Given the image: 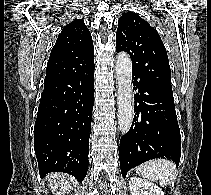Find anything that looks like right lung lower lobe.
Masks as SVG:
<instances>
[{
    "label": "right lung lower lobe",
    "instance_id": "1",
    "mask_svg": "<svg viewBox=\"0 0 211 195\" xmlns=\"http://www.w3.org/2000/svg\"><path fill=\"white\" fill-rule=\"evenodd\" d=\"M93 96L94 65L75 75L44 83L34 127L40 177L58 171L78 180L85 178Z\"/></svg>",
    "mask_w": 211,
    "mask_h": 195
}]
</instances>
